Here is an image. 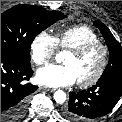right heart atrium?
<instances>
[{"instance_id":"1","label":"right heart atrium","mask_w":122,"mask_h":122,"mask_svg":"<svg viewBox=\"0 0 122 122\" xmlns=\"http://www.w3.org/2000/svg\"><path fill=\"white\" fill-rule=\"evenodd\" d=\"M56 50L55 37L46 31L39 32L30 44L31 60L36 65H43L52 59Z\"/></svg>"}]
</instances>
